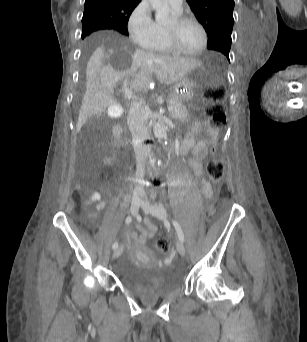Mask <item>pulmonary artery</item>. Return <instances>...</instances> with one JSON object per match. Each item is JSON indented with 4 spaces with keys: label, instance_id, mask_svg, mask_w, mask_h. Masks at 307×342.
<instances>
[{
    "label": "pulmonary artery",
    "instance_id": "pulmonary-artery-1",
    "mask_svg": "<svg viewBox=\"0 0 307 342\" xmlns=\"http://www.w3.org/2000/svg\"><path fill=\"white\" fill-rule=\"evenodd\" d=\"M177 13L182 12V5L184 1H165Z\"/></svg>",
    "mask_w": 307,
    "mask_h": 342
}]
</instances>
